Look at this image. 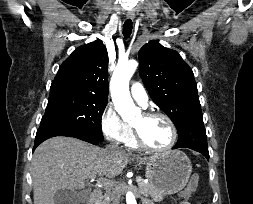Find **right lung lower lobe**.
<instances>
[{
    "label": "right lung lower lobe",
    "mask_w": 253,
    "mask_h": 204,
    "mask_svg": "<svg viewBox=\"0 0 253 204\" xmlns=\"http://www.w3.org/2000/svg\"><path fill=\"white\" fill-rule=\"evenodd\" d=\"M55 136L75 137L94 145H97L100 142V140L96 139L95 137L86 135L76 130H70L61 127L40 126L35 137L34 150L40 143Z\"/></svg>",
    "instance_id": "1"
}]
</instances>
